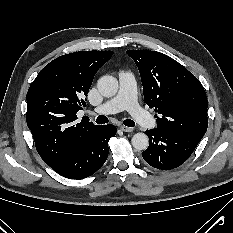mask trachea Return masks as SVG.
I'll return each mask as SVG.
<instances>
[{
	"label": "trachea",
	"instance_id": "trachea-1",
	"mask_svg": "<svg viewBox=\"0 0 233 233\" xmlns=\"http://www.w3.org/2000/svg\"><path fill=\"white\" fill-rule=\"evenodd\" d=\"M108 118L104 115H99L97 118H96V123L97 124H105V123H108ZM123 124L125 126H128V127H134L135 126V122L131 119H126L123 121Z\"/></svg>",
	"mask_w": 233,
	"mask_h": 233
}]
</instances>
